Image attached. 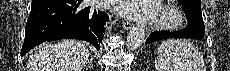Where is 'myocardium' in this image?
<instances>
[{
  "instance_id": "1",
  "label": "myocardium",
  "mask_w": 230,
  "mask_h": 71,
  "mask_svg": "<svg viewBox=\"0 0 230 71\" xmlns=\"http://www.w3.org/2000/svg\"><path fill=\"white\" fill-rule=\"evenodd\" d=\"M156 10L157 16L152 23L155 29L173 31L184 24V14L173 5H159Z\"/></svg>"
}]
</instances>
